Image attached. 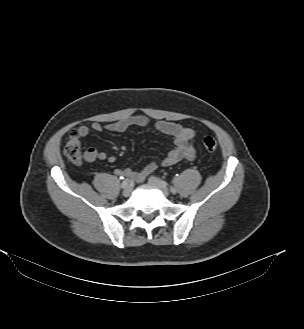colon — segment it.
Instances as JSON below:
<instances>
[{
    "mask_svg": "<svg viewBox=\"0 0 304 329\" xmlns=\"http://www.w3.org/2000/svg\"><path fill=\"white\" fill-rule=\"evenodd\" d=\"M203 145L210 152L217 149V141L212 136H206ZM64 153L72 162L79 163L82 160L81 136L77 130L70 131L65 141Z\"/></svg>",
    "mask_w": 304,
    "mask_h": 329,
    "instance_id": "colon-1",
    "label": "colon"
}]
</instances>
